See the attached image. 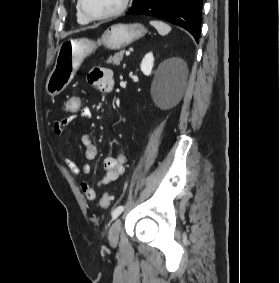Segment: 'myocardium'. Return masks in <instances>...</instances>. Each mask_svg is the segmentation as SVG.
I'll return each mask as SVG.
<instances>
[{"instance_id": "obj_1", "label": "myocardium", "mask_w": 280, "mask_h": 283, "mask_svg": "<svg viewBox=\"0 0 280 283\" xmlns=\"http://www.w3.org/2000/svg\"><path fill=\"white\" fill-rule=\"evenodd\" d=\"M130 2L131 0H122L120 6L117 9H115L114 11L108 12L106 14H102V15H92L91 13H89L84 7V0H78V6H79V9L82 15L87 20L100 21V20L111 19V18L121 15L123 12L127 10V8L130 5Z\"/></svg>"}]
</instances>
